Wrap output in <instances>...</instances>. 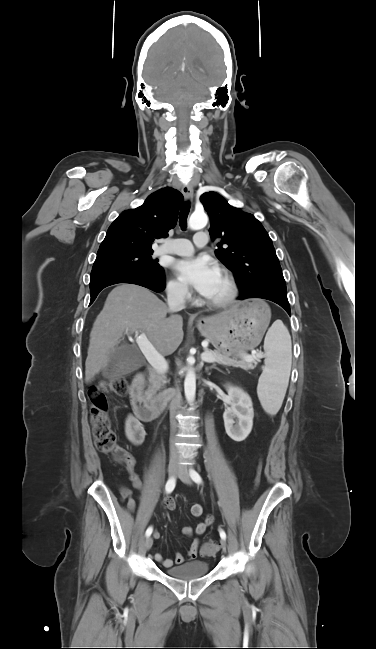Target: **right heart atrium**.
Instances as JSON below:
<instances>
[{
    "mask_svg": "<svg viewBox=\"0 0 376 649\" xmlns=\"http://www.w3.org/2000/svg\"><path fill=\"white\" fill-rule=\"evenodd\" d=\"M166 292L169 298L180 303L187 302L191 298L188 288L175 279H170L166 283Z\"/></svg>",
    "mask_w": 376,
    "mask_h": 649,
    "instance_id": "right-heart-atrium-1",
    "label": "right heart atrium"
}]
</instances>
